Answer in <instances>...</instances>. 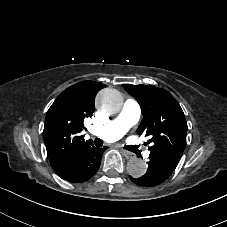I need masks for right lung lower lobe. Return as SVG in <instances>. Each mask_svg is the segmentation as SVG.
<instances>
[{
    "label": "right lung lower lobe",
    "instance_id": "right-lung-lower-lobe-1",
    "mask_svg": "<svg viewBox=\"0 0 227 227\" xmlns=\"http://www.w3.org/2000/svg\"><path fill=\"white\" fill-rule=\"evenodd\" d=\"M104 150L105 148H96L94 146L87 148L58 176L73 183L89 180L98 171Z\"/></svg>",
    "mask_w": 227,
    "mask_h": 227
}]
</instances>
